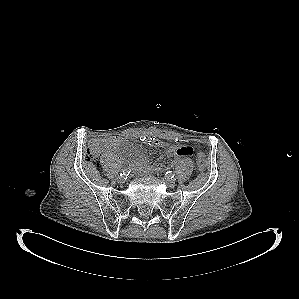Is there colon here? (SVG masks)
<instances>
[{"mask_svg":"<svg viewBox=\"0 0 299 299\" xmlns=\"http://www.w3.org/2000/svg\"><path fill=\"white\" fill-rule=\"evenodd\" d=\"M106 141L102 139H94L90 142L87 150L88 160H97L100 156ZM196 165L199 172H204L207 168V162L202 152L196 153Z\"/></svg>","mask_w":299,"mask_h":299,"instance_id":"obj_1","label":"colon"}]
</instances>
